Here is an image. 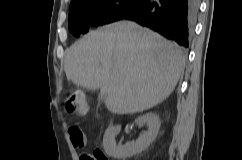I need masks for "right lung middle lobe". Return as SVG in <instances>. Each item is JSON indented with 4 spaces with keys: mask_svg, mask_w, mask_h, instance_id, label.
<instances>
[{
    "mask_svg": "<svg viewBox=\"0 0 242 160\" xmlns=\"http://www.w3.org/2000/svg\"><path fill=\"white\" fill-rule=\"evenodd\" d=\"M142 0H83L69 8L68 27L78 37L98 26L122 19Z\"/></svg>",
    "mask_w": 242,
    "mask_h": 160,
    "instance_id": "1",
    "label": "right lung middle lobe"
}]
</instances>
